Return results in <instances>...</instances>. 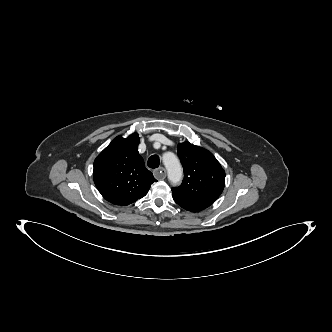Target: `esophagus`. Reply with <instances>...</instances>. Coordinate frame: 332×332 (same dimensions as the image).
<instances>
[{
    "label": "esophagus",
    "mask_w": 332,
    "mask_h": 332,
    "mask_svg": "<svg viewBox=\"0 0 332 332\" xmlns=\"http://www.w3.org/2000/svg\"><path fill=\"white\" fill-rule=\"evenodd\" d=\"M166 174H167L166 170L163 167H160V168L154 170V176L158 180H164L166 178Z\"/></svg>",
    "instance_id": "34e87169"
}]
</instances>
